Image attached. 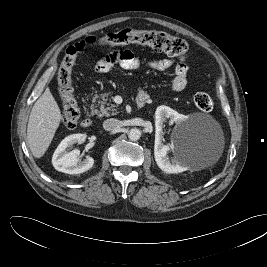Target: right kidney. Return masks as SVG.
I'll list each match as a JSON object with an SVG mask.
<instances>
[{
	"mask_svg": "<svg viewBox=\"0 0 267 267\" xmlns=\"http://www.w3.org/2000/svg\"><path fill=\"white\" fill-rule=\"evenodd\" d=\"M85 139V134H73L61 141L52 157V164L57 171L67 174H80L92 168L94 164L92 157L79 161L80 151L78 149L68 152L70 147L76 143H83Z\"/></svg>",
	"mask_w": 267,
	"mask_h": 267,
	"instance_id": "ca27d5eb",
	"label": "right kidney"
}]
</instances>
